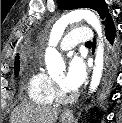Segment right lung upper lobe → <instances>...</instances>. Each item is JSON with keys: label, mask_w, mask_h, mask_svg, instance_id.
<instances>
[{"label": "right lung upper lobe", "mask_w": 122, "mask_h": 123, "mask_svg": "<svg viewBox=\"0 0 122 123\" xmlns=\"http://www.w3.org/2000/svg\"><path fill=\"white\" fill-rule=\"evenodd\" d=\"M19 66V55L15 57V67Z\"/></svg>", "instance_id": "cb5924a9"}]
</instances>
